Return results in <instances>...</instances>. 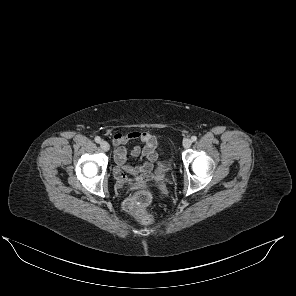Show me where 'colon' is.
<instances>
[{
    "label": "colon",
    "mask_w": 296,
    "mask_h": 296,
    "mask_svg": "<svg viewBox=\"0 0 296 296\" xmlns=\"http://www.w3.org/2000/svg\"><path fill=\"white\" fill-rule=\"evenodd\" d=\"M151 201L152 195L148 191H139L125 201L124 208L142 223L149 224L153 222V216L146 211V207Z\"/></svg>",
    "instance_id": "obj_1"
}]
</instances>
